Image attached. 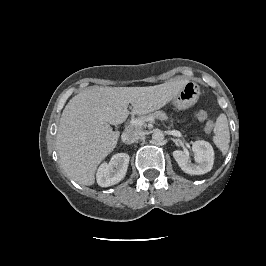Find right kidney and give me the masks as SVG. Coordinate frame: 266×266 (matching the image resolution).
Masks as SVG:
<instances>
[{"label": "right kidney", "instance_id": "ca27d5eb", "mask_svg": "<svg viewBox=\"0 0 266 266\" xmlns=\"http://www.w3.org/2000/svg\"><path fill=\"white\" fill-rule=\"evenodd\" d=\"M129 159L128 154L117 153L109 163H103L96 175L98 185L108 187L120 182L126 175Z\"/></svg>", "mask_w": 266, "mask_h": 266}]
</instances>
